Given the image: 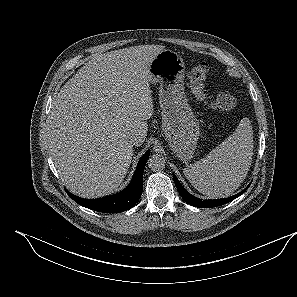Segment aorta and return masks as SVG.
<instances>
[{
    "label": "aorta",
    "instance_id": "aorta-1",
    "mask_svg": "<svg viewBox=\"0 0 297 297\" xmlns=\"http://www.w3.org/2000/svg\"><path fill=\"white\" fill-rule=\"evenodd\" d=\"M148 167L152 171H161L165 168V158L160 154H153L148 159Z\"/></svg>",
    "mask_w": 297,
    "mask_h": 297
}]
</instances>
